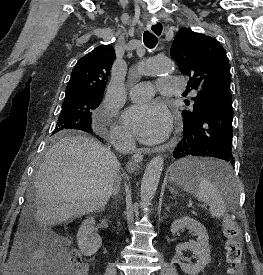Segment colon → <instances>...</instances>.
<instances>
[{
	"mask_svg": "<svg viewBox=\"0 0 263 275\" xmlns=\"http://www.w3.org/2000/svg\"><path fill=\"white\" fill-rule=\"evenodd\" d=\"M222 226L225 236L224 248L228 272L232 275H243V243L240 228L231 216L224 217ZM84 269L85 264L79 251L76 249L70 250L66 258L64 274L82 275Z\"/></svg>",
	"mask_w": 263,
	"mask_h": 275,
	"instance_id": "obj_1",
	"label": "colon"
}]
</instances>
